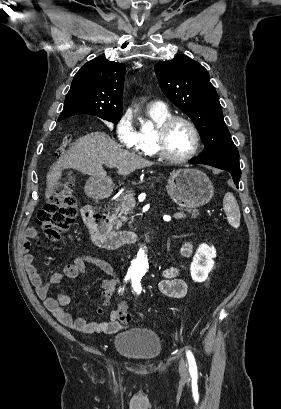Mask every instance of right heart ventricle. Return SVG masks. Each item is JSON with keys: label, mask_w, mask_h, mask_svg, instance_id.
<instances>
[{"label": "right heart ventricle", "mask_w": 281, "mask_h": 409, "mask_svg": "<svg viewBox=\"0 0 281 409\" xmlns=\"http://www.w3.org/2000/svg\"><path fill=\"white\" fill-rule=\"evenodd\" d=\"M149 114L153 121V127L171 116V113L168 110L156 111L155 109H152L149 111ZM153 127L151 129L141 128L140 130H138V132H136V142L134 146L135 151L147 156L156 155V152L153 148L151 134V130L153 129Z\"/></svg>", "instance_id": "right-heart-ventricle-1"}]
</instances>
